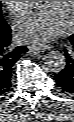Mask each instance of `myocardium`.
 Listing matches in <instances>:
<instances>
[{
    "mask_svg": "<svg viewBox=\"0 0 74 122\" xmlns=\"http://www.w3.org/2000/svg\"><path fill=\"white\" fill-rule=\"evenodd\" d=\"M71 14H72L71 24H73L74 23V1H72V12H71Z\"/></svg>",
    "mask_w": 74,
    "mask_h": 122,
    "instance_id": "1",
    "label": "myocardium"
}]
</instances>
